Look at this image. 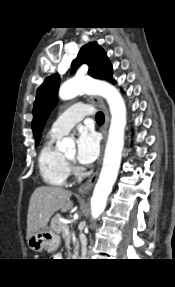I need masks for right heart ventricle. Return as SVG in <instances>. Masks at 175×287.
<instances>
[{
    "label": "right heart ventricle",
    "mask_w": 175,
    "mask_h": 287,
    "mask_svg": "<svg viewBox=\"0 0 175 287\" xmlns=\"http://www.w3.org/2000/svg\"><path fill=\"white\" fill-rule=\"evenodd\" d=\"M58 137L49 133L38 156L41 177L46 184L52 186L66 185L70 172L64 155L55 147Z\"/></svg>",
    "instance_id": "1"
}]
</instances>
